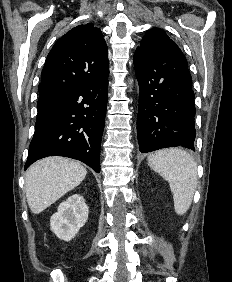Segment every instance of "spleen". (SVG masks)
<instances>
[{
	"label": "spleen",
	"instance_id": "spleen-1",
	"mask_svg": "<svg viewBox=\"0 0 232 282\" xmlns=\"http://www.w3.org/2000/svg\"><path fill=\"white\" fill-rule=\"evenodd\" d=\"M149 166L170 184L174 209L183 215L191 206L196 181V163L185 151L161 150L148 157Z\"/></svg>",
	"mask_w": 232,
	"mask_h": 282
}]
</instances>
